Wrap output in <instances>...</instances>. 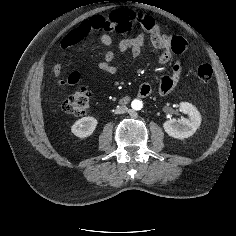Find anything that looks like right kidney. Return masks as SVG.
Wrapping results in <instances>:
<instances>
[{"mask_svg":"<svg viewBox=\"0 0 236 236\" xmlns=\"http://www.w3.org/2000/svg\"><path fill=\"white\" fill-rule=\"evenodd\" d=\"M97 124L94 117H83L72 125L71 132L79 138H86L94 132Z\"/></svg>","mask_w":236,"mask_h":236,"instance_id":"obj_1","label":"right kidney"}]
</instances>
